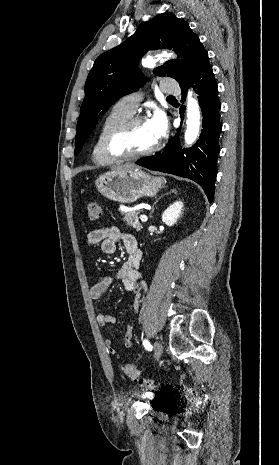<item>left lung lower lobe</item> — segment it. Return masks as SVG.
Wrapping results in <instances>:
<instances>
[{"instance_id": "0a47b994", "label": "left lung lower lobe", "mask_w": 279, "mask_h": 465, "mask_svg": "<svg viewBox=\"0 0 279 465\" xmlns=\"http://www.w3.org/2000/svg\"><path fill=\"white\" fill-rule=\"evenodd\" d=\"M182 89V102L189 86L196 89L199 105L203 113L202 132L196 144L189 149H182L179 133L169 140L162 152L145 157L136 164L150 170L170 173L189 178L198 183L211 202L214 196L217 176V157L220 151L219 137L222 130L219 110L217 83L209 63L207 52L197 62L193 72L179 83ZM184 107L180 109L182 115Z\"/></svg>"}]
</instances>
